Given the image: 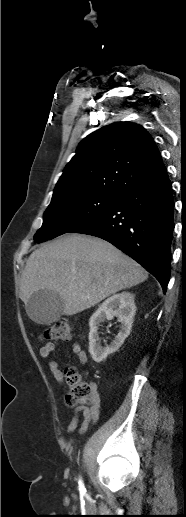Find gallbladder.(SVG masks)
<instances>
[{"instance_id":"gallbladder-1","label":"gallbladder","mask_w":186,"mask_h":517,"mask_svg":"<svg viewBox=\"0 0 186 517\" xmlns=\"http://www.w3.org/2000/svg\"><path fill=\"white\" fill-rule=\"evenodd\" d=\"M25 308L33 321L50 324L63 315L64 301L53 291L40 290L29 298Z\"/></svg>"}]
</instances>
